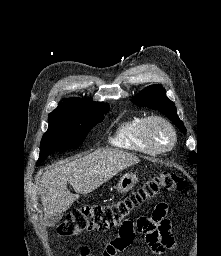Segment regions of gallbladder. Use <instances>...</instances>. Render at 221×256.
I'll return each instance as SVG.
<instances>
[{"instance_id": "bac80fb5", "label": "gallbladder", "mask_w": 221, "mask_h": 256, "mask_svg": "<svg viewBox=\"0 0 221 256\" xmlns=\"http://www.w3.org/2000/svg\"><path fill=\"white\" fill-rule=\"evenodd\" d=\"M61 218H62L61 213L53 215V216H49L46 219V223H47L48 226H54L55 224H57L61 220Z\"/></svg>"}]
</instances>
